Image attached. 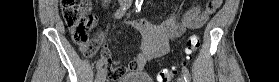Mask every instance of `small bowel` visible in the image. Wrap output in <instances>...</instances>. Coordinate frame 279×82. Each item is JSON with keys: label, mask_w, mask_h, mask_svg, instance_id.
<instances>
[{"label": "small bowel", "mask_w": 279, "mask_h": 82, "mask_svg": "<svg viewBox=\"0 0 279 82\" xmlns=\"http://www.w3.org/2000/svg\"><path fill=\"white\" fill-rule=\"evenodd\" d=\"M217 8L207 5L201 9L192 6L178 21V10L174 7L162 24L153 25L142 21H130V25L142 35L140 52L125 66L120 65L111 57L110 48L103 44L104 35L99 32L89 45L93 48L92 54L101 47L100 61L108 71L109 76L115 80L131 71H140L152 59L158 58L169 51L170 42L182 36L187 29L199 28L205 25L209 15ZM81 49L84 46H80Z\"/></svg>", "instance_id": "obj_1"}]
</instances>
